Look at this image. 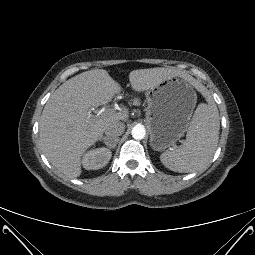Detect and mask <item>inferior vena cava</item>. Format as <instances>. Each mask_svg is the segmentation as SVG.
Segmentation results:
<instances>
[{
  "label": "inferior vena cava",
  "instance_id": "602c4592",
  "mask_svg": "<svg viewBox=\"0 0 255 255\" xmlns=\"http://www.w3.org/2000/svg\"><path fill=\"white\" fill-rule=\"evenodd\" d=\"M125 125L122 122L109 124L105 129V141L107 145H114L119 140V136L124 133Z\"/></svg>",
  "mask_w": 255,
  "mask_h": 255
}]
</instances>
